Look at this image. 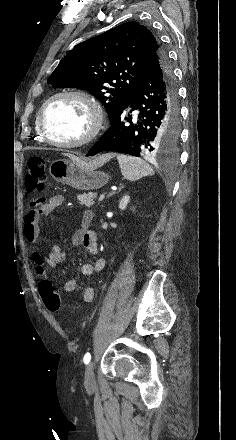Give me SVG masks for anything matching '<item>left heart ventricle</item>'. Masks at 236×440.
Returning <instances> with one entry per match:
<instances>
[{
	"instance_id": "b2bd125f",
	"label": "left heart ventricle",
	"mask_w": 236,
	"mask_h": 440,
	"mask_svg": "<svg viewBox=\"0 0 236 440\" xmlns=\"http://www.w3.org/2000/svg\"><path fill=\"white\" fill-rule=\"evenodd\" d=\"M44 124L51 139L60 142L76 141L90 127V112L85 104L76 99L60 98L46 109Z\"/></svg>"
}]
</instances>
